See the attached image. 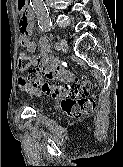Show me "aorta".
I'll return each mask as SVG.
<instances>
[{"instance_id":"1","label":"aorta","mask_w":123,"mask_h":167,"mask_svg":"<svg viewBox=\"0 0 123 167\" xmlns=\"http://www.w3.org/2000/svg\"><path fill=\"white\" fill-rule=\"evenodd\" d=\"M30 1H31V6L38 18L39 27L44 31L50 30L51 20L46 10L44 1L43 0H30Z\"/></svg>"}]
</instances>
